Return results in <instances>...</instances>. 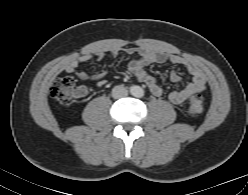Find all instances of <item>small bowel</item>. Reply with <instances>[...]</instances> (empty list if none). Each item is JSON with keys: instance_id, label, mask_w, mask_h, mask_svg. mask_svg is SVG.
<instances>
[{"instance_id": "1", "label": "small bowel", "mask_w": 248, "mask_h": 195, "mask_svg": "<svg viewBox=\"0 0 248 195\" xmlns=\"http://www.w3.org/2000/svg\"><path fill=\"white\" fill-rule=\"evenodd\" d=\"M113 54L116 53V50L111 51ZM131 53H134V49H130ZM104 56L103 52H97L93 55H85L79 57L69 63L65 67V72L73 73L76 71L77 75L83 80H92L96 82H101L104 77V73H96V74H89L85 70H78V68L85 63L86 61L95 58L101 59ZM172 63V64H183L187 66V70L191 75L192 79L186 85L175 89L169 93V100L173 104H182L188 100H190L193 96L201 94L206 85L205 75L202 70L194 65V64H187L185 61L182 60L179 56L167 54L164 52L152 51V50H142L140 55L137 59L132 60L128 65V71L133 74L139 81L143 82L147 85L150 92L156 96L160 97L163 94V89L157 82L156 78L145 70V68L154 63ZM169 79L172 82L180 83L181 77L177 73H171L169 75Z\"/></svg>"}]
</instances>
